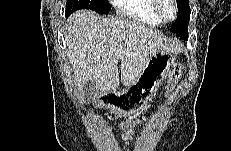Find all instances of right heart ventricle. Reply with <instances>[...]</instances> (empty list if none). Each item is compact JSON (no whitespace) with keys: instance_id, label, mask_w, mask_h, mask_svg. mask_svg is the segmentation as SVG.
Listing matches in <instances>:
<instances>
[{"instance_id":"1","label":"right heart ventricle","mask_w":231,"mask_h":151,"mask_svg":"<svg viewBox=\"0 0 231 151\" xmlns=\"http://www.w3.org/2000/svg\"><path fill=\"white\" fill-rule=\"evenodd\" d=\"M154 0H120L117 3L127 22L149 26L163 23L154 12Z\"/></svg>"}]
</instances>
